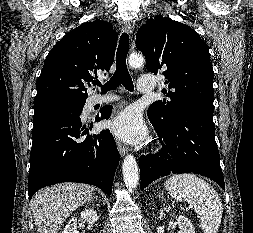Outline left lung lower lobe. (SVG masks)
Masks as SVG:
<instances>
[{
	"label": "left lung lower lobe",
	"mask_w": 253,
	"mask_h": 233,
	"mask_svg": "<svg viewBox=\"0 0 253 233\" xmlns=\"http://www.w3.org/2000/svg\"><path fill=\"white\" fill-rule=\"evenodd\" d=\"M148 118L164 143L159 153L140 157L141 190L160 177L180 173L200 174L225 188L213 112L197 109L181 113L169 129Z\"/></svg>",
	"instance_id": "left-lung-lower-lobe-1"
}]
</instances>
